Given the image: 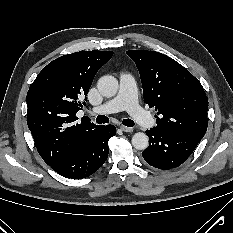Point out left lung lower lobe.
I'll return each instance as SVG.
<instances>
[{
	"instance_id": "0a47b994",
	"label": "left lung lower lobe",
	"mask_w": 233,
	"mask_h": 233,
	"mask_svg": "<svg viewBox=\"0 0 233 233\" xmlns=\"http://www.w3.org/2000/svg\"><path fill=\"white\" fill-rule=\"evenodd\" d=\"M150 143L142 152L145 161L154 168L168 170L181 165L198 145L189 137L156 128L146 130Z\"/></svg>"
}]
</instances>
